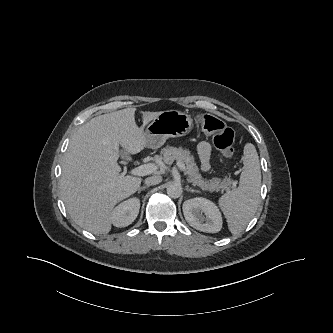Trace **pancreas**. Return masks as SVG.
<instances>
[{
	"mask_svg": "<svg viewBox=\"0 0 333 333\" xmlns=\"http://www.w3.org/2000/svg\"><path fill=\"white\" fill-rule=\"evenodd\" d=\"M166 164H172L174 160L182 162L186 165L185 174L188 176V181L194 186H198L205 191H229L232 187L233 181L228 177L224 179L212 178L206 180L199 173V168L196 165L193 155L190 151L182 147H166L161 150V156L157 157Z\"/></svg>",
	"mask_w": 333,
	"mask_h": 333,
	"instance_id": "pancreas-1",
	"label": "pancreas"
}]
</instances>
